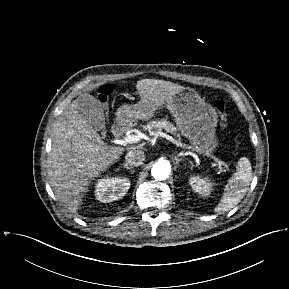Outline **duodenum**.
<instances>
[{
    "label": "duodenum",
    "mask_w": 289,
    "mask_h": 289,
    "mask_svg": "<svg viewBox=\"0 0 289 289\" xmlns=\"http://www.w3.org/2000/svg\"><path fill=\"white\" fill-rule=\"evenodd\" d=\"M131 126V122L127 118H119L113 125L112 131L113 134L116 136L124 135Z\"/></svg>",
    "instance_id": "duodenum-1"
}]
</instances>
